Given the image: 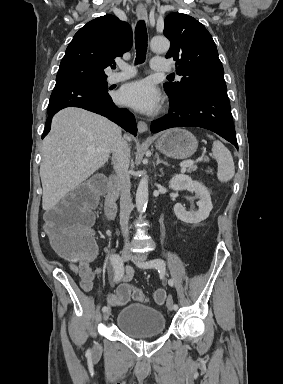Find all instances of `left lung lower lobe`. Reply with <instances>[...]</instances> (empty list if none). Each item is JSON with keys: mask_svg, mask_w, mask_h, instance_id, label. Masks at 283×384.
<instances>
[{"mask_svg": "<svg viewBox=\"0 0 283 384\" xmlns=\"http://www.w3.org/2000/svg\"><path fill=\"white\" fill-rule=\"evenodd\" d=\"M170 101L169 114L152 122L153 133L173 127H202L238 149L227 92H191L180 99L170 97Z\"/></svg>", "mask_w": 283, "mask_h": 384, "instance_id": "obj_1", "label": "left lung lower lobe"}]
</instances>
